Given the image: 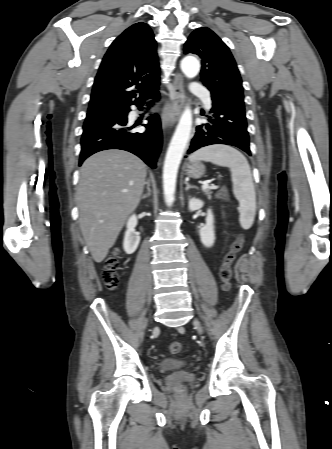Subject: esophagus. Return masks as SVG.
I'll list each match as a JSON object with an SVG mask.
<instances>
[{
	"label": "esophagus",
	"mask_w": 332,
	"mask_h": 449,
	"mask_svg": "<svg viewBox=\"0 0 332 449\" xmlns=\"http://www.w3.org/2000/svg\"><path fill=\"white\" fill-rule=\"evenodd\" d=\"M184 98L183 77L181 74H176L173 80L171 102L166 105L162 113V126L164 129L176 122L182 109Z\"/></svg>",
	"instance_id": "1"
}]
</instances>
